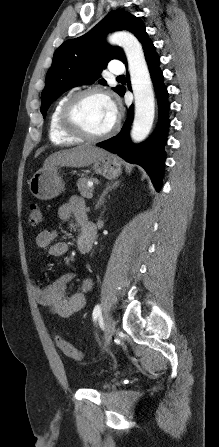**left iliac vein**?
<instances>
[{
	"label": "left iliac vein",
	"mask_w": 219,
	"mask_h": 447,
	"mask_svg": "<svg viewBox=\"0 0 219 447\" xmlns=\"http://www.w3.org/2000/svg\"><path fill=\"white\" fill-rule=\"evenodd\" d=\"M115 333V323L111 316L107 315L105 317V332H104V339H105V346H109L112 337Z\"/></svg>",
	"instance_id": "obj_1"
}]
</instances>
